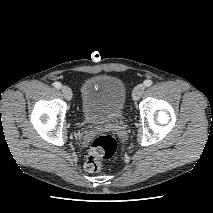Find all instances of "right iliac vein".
<instances>
[{"label":"right iliac vein","mask_w":213,"mask_h":213,"mask_svg":"<svg viewBox=\"0 0 213 213\" xmlns=\"http://www.w3.org/2000/svg\"><path fill=\"white\" fill-rule=\"evenodd\" d=\"M61 91L66 100L72 99L73 93H72V90L68 86H62Z\"/></svg>","instance_id":"1"}]
</instances>
